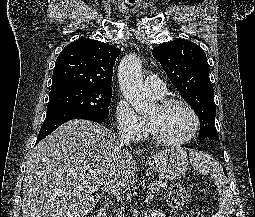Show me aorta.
<instances>
[{
    "label": "aorta",
    "mask_w": 255,
    "mask_h": 217,
    "mask_svg": "<svg viewBox=\"0 0 255 217\" xmlns=\"http://www.w3.org/2000/svg\"><path fill=\"white\" fill-rule=\"evenodd\" d=\"M118 82L126 100L139 114H144L155 106L145 90L142 78V63L135 53L126 55L118 67Z\"/></svg>",
    "instance_id": "aorta-1"
}]
</instances>
